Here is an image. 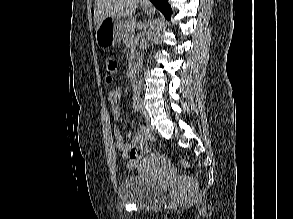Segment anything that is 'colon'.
Instances as JSON below:
<instances>
[{
	"instance_id": "5ec220e1",
	"label": "colon",
	"mask_w": 293,
	"mask_h": 219,
	"mask_svg": "<svg viewBox=\"0 0 293 219\" xmlns=\"http://www.w3.org/2000/svg\"><path fill=\"white\" fill-rule=\"evenodd\" d=\"M104 67L106 72V81L110 83L112 81L113 75L117 71L118 62L117 59L112 55H107L104 59ZM155 143V138L153 134L146 130L143 134L142 142L133 147L128 154L129 166L134 167L136 164L149 152ZM184 166H190L188 162H182Z\"/></svg>"
}]
</instances>
